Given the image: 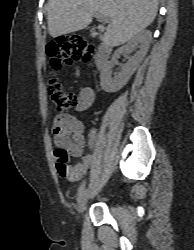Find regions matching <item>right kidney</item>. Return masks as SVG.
Here are the masks:
<instances>
[{
	"instance_id": "right-kidney-1",
	"label": "right kidney",
	"mask_w": 194,
	"mask_h": 250,
	"mask_svg": "<svg viewBox=\"0 0 194 250\" xmlns=\"http://www.w3.org/2000/svg\"><path fill=\"white\" fill-rule=\"evenodd\" d=\"M151 40V33L143 31L132 37L126 45L116 50L112 56V60L103 68L100 75V85L105 92L113 93L120 90L134 74L139 64L146 56ZM138 47L135 55L129 57L128 63L124 65L121 71L112 77V68L114 61L120 57L121 54L131 51Z\"/></svg>"
}]
</instances>
